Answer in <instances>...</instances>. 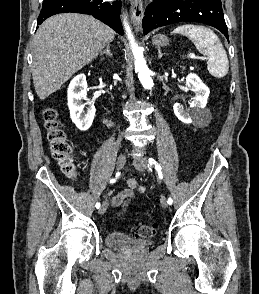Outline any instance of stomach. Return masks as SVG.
<instances>
[{"label": "stomach", "instance_id": "1", "mask_svg": "<svg viewBox=\"0 0 259 294\" xmlns=\"http://www.w3.org/2000/svg\"><path fill=\"white\" fill-rule=\"evenodd\" d=\"M152 42L157 48L165 47L169 44V40L164 35H156Z\"/></svg>", "mask_w": 259, "mask_h": 294}]
</instances>
